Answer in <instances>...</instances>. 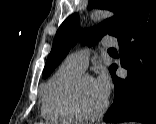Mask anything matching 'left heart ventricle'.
<instances>
[{"label":"left heart ventricle","instance_id":"left-heart-ventricle-1","mask_svg":"<svg viewBox=\"0 0 156 124\" xmlns=\"http://www.w3.org/2000/svg\"><path fill=\"white\" fill-rule=\"evenodd\" d=\"M105 98L98 91L93 79L82 81L79 90V102L86 113L97 112L104 104Z\"/></svg>","mask_w":156,"mask_h":124}]
</instances>
